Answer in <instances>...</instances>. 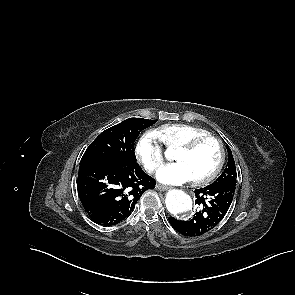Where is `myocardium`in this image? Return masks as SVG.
<instances>
[{
  "label": "myocardium",
  "instance_id": "obj_1",
  "mask_svg": "<svg viewBox=\"0 0 295 295\" xmlns=\"http://www.w3.org/2000/svg\"><path fill=\"white\" fill-rule=\"evenodd\" d=\"M206 140H214L218 144L219 152H220L219 161L216 167L214 168V170L210 174L201 178L194 179V182L197 184H207L213 181L221 172L226 159V151H225V147L222 140L213 134H206V135L195 137L188 143L178 148L179 151L190 153L194 151L201 143H203Z\"/></svg>",
  "mask_w": 295,
  "mask_h": 295
}]
</instances>
